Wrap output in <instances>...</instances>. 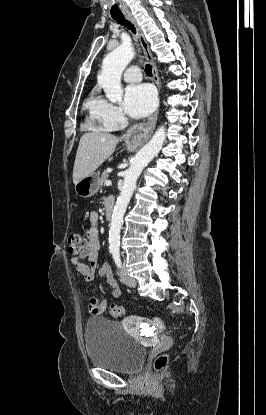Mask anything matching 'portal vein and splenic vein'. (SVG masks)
Masks as SVG:
<instances>
[{
  "mask_svg": "<svg viewBox=\"0 0 266 415\" xmlns=\"http://www.w3.org/2000/svg\"><path fill=\"white\" fill-rule=\"evenodd\" d=\"M112 184V182L110 181V180H107L106 182H105V185L106 186H110Z\"/></svg>",
  "mask_w": 266,
  "mask_h": 415,
  "instance_id": "portal-vein-and-splenic-vein-1",
  "label": "portal vein and splenic vein"
}]
</instances>
